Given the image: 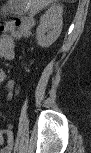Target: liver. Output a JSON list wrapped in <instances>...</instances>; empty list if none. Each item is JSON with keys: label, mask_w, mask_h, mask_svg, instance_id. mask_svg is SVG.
I'll use <instances>...</instances> for the list:
<instances>
[{"label": "liver", "mask_w": 91, "mask_h": 153, "mask_svg": "<svg viewBox=\"0 0 91 153\" xmlns=\"http://www.w3.org/2000/svg\"><path fill=\"white\" fill-rule=\"evenodd\" d=\"M14 2L16 4L23 2L25 5H27L28 8L31 9L33 13H35L39 11L40 9H42L44 6L52 3L53 0H23V1L17 0Z\"/></svg>", "instance_id": "1"}]
</instances>
